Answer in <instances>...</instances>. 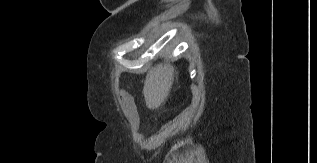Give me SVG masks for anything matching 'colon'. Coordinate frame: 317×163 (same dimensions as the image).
<instances>
[{
	"label": "colon",
	"mask_w": 317,
	"mask_h": 163,
	"mask_svg": "<svg viewBox=\"0 0 317 163\" xmlns=\"http://www.w3.org/2000/svg\"><path fill=\"white\" fill-rule=\"evenodd\" d=\"M126 95H127V94H125V93L122 94V96H121V100H122V101L126 98Z\"/></svg>",
	"instance_id": "colon-1"
}]
</instances>
